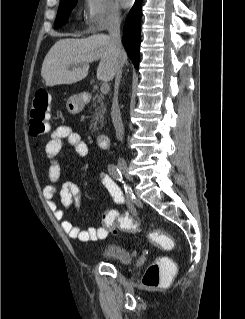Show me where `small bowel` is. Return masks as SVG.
I'll return each instance as SVG.
<instances>
[{
  "mask_svg": "<svg viewBox=\"0 0 245 319\" xmlns=\"http://www.w3.org/2000/svg\"><path fill=\"white\" fill-rule=\"evenodd\" d=\"M65 142L72 146L79 156L84 157L88 154V147L86 143L73 127L68 125L57 127L51 133L45 147V153L47 158L50 160V165L47 171L46 185L43 188V195L47 201L49 209L54 215V218L59 221L61 229L70 238L78 239L82 242L103 240L109 233L106 226L90 227L86 230H81L71 221L65 219L64 209H69L74 206L77 210H79L82 202V190L78 184L71 181L64 182L61 185L58 184L61 175V167L56 160V157L60 153ZM97 179L109 191L116 204H123L122 201H119V196H115L113 181L108 175L100 173L98 174ZM56 195H59L63 208H60L55 201L54 197Z\"/></svg>",
  "mask_w": 245,
  "mask_h": 319,
  "instance_id": "obj_1",
  "label": "small bowel"
}]
</instances>
